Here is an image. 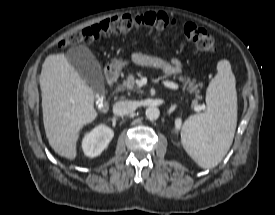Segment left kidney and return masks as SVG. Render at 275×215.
Here are the masks:
<instances>
[{
  "label": "left kidney",
  "instance_id": "obj_1",
  "mask_svg": "<svg viewBox=\"0 0 275 215\" xmlns=\"http://www.w3.org/2000/svg\"><path fill=\"white\" fill-rule=\"evenodd\" d=\"M181 125H182V120H181V118H177V119L175 120V128H176V130H179V129L181 128Z\"/></svg>",
  "mask_w": 275,
  "mask_h": 215
}]
</instances>
